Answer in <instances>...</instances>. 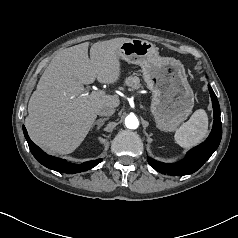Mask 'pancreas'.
I'll list each match as a JSON object with an SVG mask.
<instances>
[{
  "instance_id": "pancreas-1",
  "label": "pancreas",
  "mask_w": 238,
  "mask_h": 238,
  "mask_svg": "<svg viewBox=\"0 0 238 238\" xmlns=\"http://www.w3.org/2000/svg\"><path fill=\"white\" fill-rule=\"evenodd\" d=\"M125 85L132 90L141 88L140 79L137 76H129L125 79Z\"/></svg>"
}]
</instances>
